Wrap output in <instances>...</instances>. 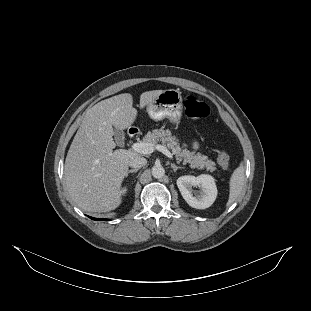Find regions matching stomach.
<instances>
[{
    "instance_id": "stomach-1",
    "label": "stomach",
    "mask_w": 311,
    "mask_h": 311,
    "mask_svg": "<svg viewBox=\"0 0 311 311\" xmlns=\"http://www.w3.org/2000/svg\"><path fill=\"white\" fill-rule=\"evenodd\" d=\"M148 113L154 120L166 119L172 129H178L183 115V98L180 91L168 89L148 107Z\"/></svg>"
}]
</instances>
